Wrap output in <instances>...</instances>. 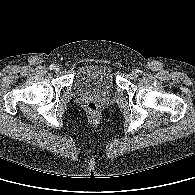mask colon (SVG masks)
Returning a JSON list of instances; mask_svg holds the SVG:
<instances>
[{"label":"colon","instance_id":"5ec220e1","mask_svg":"<svg viewBox=\"0 0 195 195\" xmlns=\"http://www.w3.org/2000/svg\"><path fill=\"white\" fill-rule=\"evenodd\" d=\"M87 111H88V113L90 114V115H93V116H95V115H98V113H99V106H98V104L96 103V102H94V101H91V102H89L88 104H87Z\"/></svg>","mask_w":195,"mask_h":195}]
</instances>
